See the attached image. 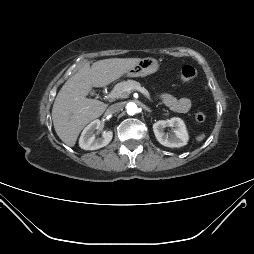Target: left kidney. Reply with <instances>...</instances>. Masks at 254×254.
Instances as JSON below:
<instances>
[{
    "mask_svg": "<svg viewBox=\"0 0 254 254\" xmlns=\"http://www.w3.org/2000/svg\"><path fill=\"white\" fill-rule=\"evenodd\" d=\"M165 127H172L174 130L168 135L164 132ZM153 131L158 142L170 148L185 146L189 139L183 120L176 117L154 123Z\"/></svg>",
    "mask_w": 254,
    "mask_h": 254,
    "instance_id": "obj_1",
    "label": "left kidney"
}]
</instances>
